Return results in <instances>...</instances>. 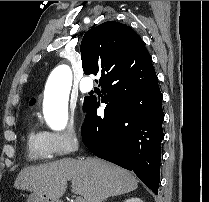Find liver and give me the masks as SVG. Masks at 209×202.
Returning <instances> with one entry per match:
<instances>
[{"label":"liver","instance_id":"obj_1","mask_svg":"<svg viewBox=\"0 0 209 202\" xmlns=\"http://www.w3.org/2000/svg\"><path fill=\"white\" fill-rule=\"evenodd\" d=\"M71 181V191L84 202H102L111 196L134 191L136 177L129 171L101 159L64 158L52 163L26 167L18 174L14 187L59 199Z\"/></svg>","mask_w":209,"mask_h":202}]
</instances>
